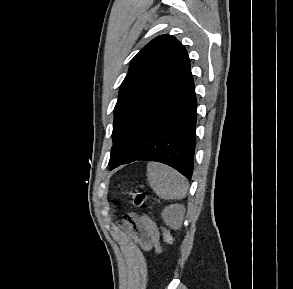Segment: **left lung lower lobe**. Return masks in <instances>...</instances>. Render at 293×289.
I'll return each instance as SVG.
<instances>
[{
  "label": "left lung lower lobe",
  "mask_w": 293,
  "mask_h": 289,
  "mask_svg": "<svg viewBox=\"0 0 293 289\" xmlns=\"http://www.w3.org/2000/svg\"><path fill=\"white\" fill-rule=\"evenodd\" d=\"M197 102L189 69L152 106L145 110L118 142L128 157L169 165L187 179L194 166Z\"/></svg>",
  "instance_id": "obj_1"
}]
</instances>
